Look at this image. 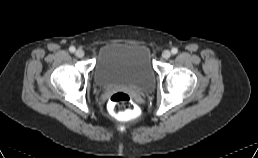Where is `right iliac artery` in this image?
<instances>
[{"label": "right iliac artery", "instance_id": "right-iliac-artery-1", "mask_svg": "<svg viewBox=\"0 0 258 158\" xmlns=\"http://www.w3.org/2000/svg\"><path fill=\"white\" fill-rule=\"evenodd\" d=\"M75 47L74 46H71L70 48H69V51L71 52V53H74L75 52Z\"/></svg>", "mask_w": 258, "mask_h": 158}]
</instances>
